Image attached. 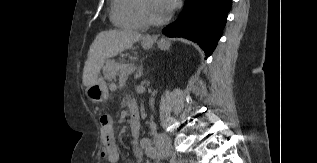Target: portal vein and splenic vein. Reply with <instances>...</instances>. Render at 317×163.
Masks as SVG:
<instances>
[{
	"mask_svg": "<svg viewBox=\"0 0 317 163\" xmlns=\"http://www.w3.org/2000/svg\"><path fill=\"white\" fill-rule=\"evenodd\" d=\"M133 70H134V68L131 67V68H129V69L123 71V72L121 73V76H126V75H128L129 73H131Z\"/></svg>",
	"mask_w": 317,
	"mask_h": 163,
	"instance_id": "portal-vein-and-splenic-vein-1",
	"label": "portal vein and splenic vein"
}]
</instances>
